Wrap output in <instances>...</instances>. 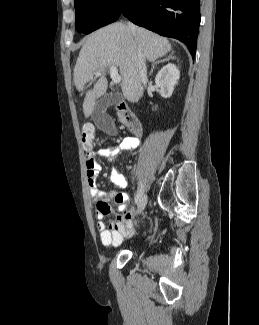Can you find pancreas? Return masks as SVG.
I'll return each mask as SVG.
<instances>
[{
	"instance_id": "obj_1",
	"label": "pancreas",
	"mask_w": 259,
	"mask_h": 325,
	"mask_svg": "<svg viewBox=\"0 0 259 325\" xmlns=\"http://www.w3.org/2000/svg\"><path fill=\"white\" fill-rule=\"evenodd\" d=\"M118 116H119V120H120L121 122H123V118H122V116L119 115V114H118Z\"/></svg>"
}]
</instances>
